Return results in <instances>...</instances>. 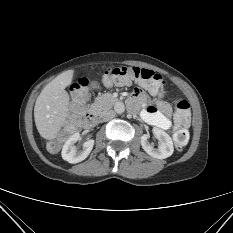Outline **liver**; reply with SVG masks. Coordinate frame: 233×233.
Here are the masks:
<instances>
[{
  "label": "liver",
  "mask_w": 233,
  "mask_h": 233,
  "mask_svg": "<svg viewBox=\"0 0 233 233\" xmlns=\"http://www.w3.org/2000/svg\"><path fill=\"white\" fill-rule=\"evenodd\" d=\"M67 70L49 82L39 94L34 107L36 128L41 137L54 140L69 116V95L65 88L73 79Z\"/></svg>",
  "instance_id": "liver-1"
}]
</instances>
